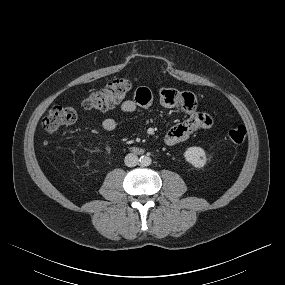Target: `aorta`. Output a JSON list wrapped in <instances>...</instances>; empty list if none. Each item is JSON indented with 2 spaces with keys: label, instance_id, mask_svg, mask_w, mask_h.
<instances>
[{
  "label": "aorta",
  "instance_id": "762f6f07",
  "mask_svg": "<svg viewBox=\"0 0 285 285\" xmlns=\"http://www.w3.org/2000/svg\"><path fill=\"white\" fill-rule=\"evenodd\" d=\"M139 162L141 166H149L151 164V158L149 155H143L140 157Z\"/></svg>",
  "mask_w": 285,
  "mask_h": 285
}]
</instances>
